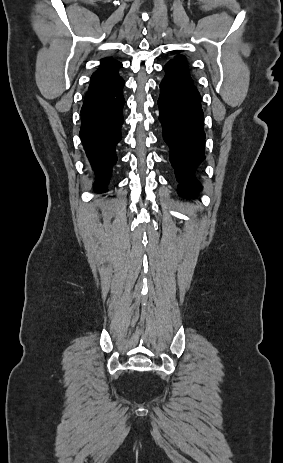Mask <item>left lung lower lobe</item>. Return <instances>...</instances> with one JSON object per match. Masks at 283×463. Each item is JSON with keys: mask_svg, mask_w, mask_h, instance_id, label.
Masks as SVG:
<instances>
[{"mask_svg": "<svg viewBox=\"0 0 283 463\" xmlns=\"http://www.w3.org/2000/svg\"><path fill=\"white\" fill-rule=\"evenodd\" d=\"M164 70L158 100L163 139L170 148L179 195L194 197L202 188L194 172L205 158L200 94L187 68L170 60Z\"/></svg>", "mask_w": 283, "mask_h": 463, "instance_id": "1", "label": "left lung lower lobe"}]
</instances>
